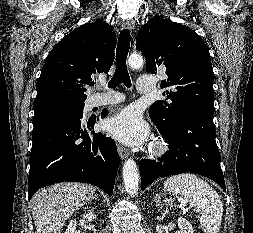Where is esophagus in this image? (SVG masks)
<instances>
[{"label": "esophagus", "mask_w": 253, "mask_h": 233, "mask_svg": "<svg viewBox=\"0 0 253 233\" xmlns=\"http://www.w3.org/2000/svg\"><path fill=\"white\" fill-rule=\"evenodd\" d=\"M135 27V21L133 19H127L123 22V28H127L129 30H133ZM117 150L119 153V156L122 160L126 159L129 155V152L126 148H124L121 145H117Z\"/></svg>", "instance_id": "1"}]
</instances>
